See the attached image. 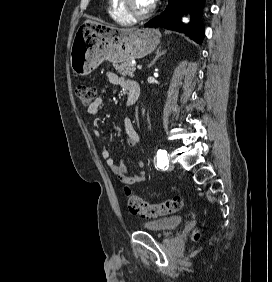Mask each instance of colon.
<instances>
[{
    "mask_svg": "<svg viewBox=\"0 0 272 282\" xmlns=\"http://www.w3.org/2000/svg\"><path fill=\"white\" fill-rule=\"evenodd\" d=\"M76 95L83 106L93 104L97 88L85 83L79 84L76 88ZM123 193L127 201V206L132 214L139 215L143 218H158L171 215L183 206V199L179 196L162 201L160 203H148L141 197L132 194L128 186L123 188ZM195 238H199V234H195Z\"/></svg>",
    "mask_w": 272,
    "mask_h": 282,
    "instance_id": "1",
    "label": "colon"
}]
</instances>
